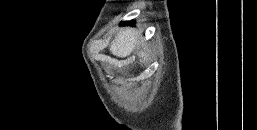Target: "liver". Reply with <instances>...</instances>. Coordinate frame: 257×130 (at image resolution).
<instances>
[{
  "label": "liver",
  "mask_w": 257,
  "mask_h": 130,
  "mask_svg": "<svg viewBox=\"0 0 257 130\" xmlns=\"http://www.w3.org/2000/svg\"><path fill=\"white\" fill-rule=\"evenodd\" d=\"M137 43V32L132 28H126L120 32L110 46V51L113 55L121 58L129 56L134 50ZM143 62L148 57V49L144 48L138 53Z\"/></svg>",
  "instance_id": "liver-1"
}]
</instances>
